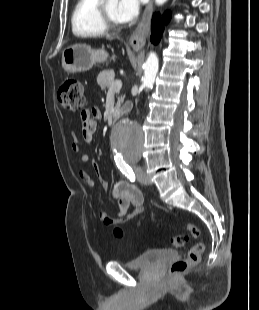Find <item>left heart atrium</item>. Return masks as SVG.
<instances>
[{"label": "left heart atrium", "mask_w": 259, "mask_h": 310, "mask_svg": "<svg viewBox=\"0 0 259 310\" xmlns=\"http://www.w3.org/2000/svg\"><path fill=\"white\" fill-rule=\"evenodd\" d=\"M142 0H119L116 16L119 23H127L134 20L140 10Z\"/></svg>", "instance_id": "39dd6f15"}]
</instances>
